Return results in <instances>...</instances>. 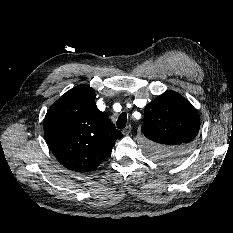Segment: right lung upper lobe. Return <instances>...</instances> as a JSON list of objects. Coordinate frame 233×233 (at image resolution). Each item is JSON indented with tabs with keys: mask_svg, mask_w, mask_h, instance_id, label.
Masks as SVG:
<instances>
[{
	"mask_svg": "<svg viewBox=\"0 0 233 233\" xmlns=\"http://www.w3.org/2000/svg\"><path fill=\"white\" fill-rule=\"evenodd\" d=\"M44 136L57 160L76 172L96 169L123 137L98 110L88 85L72 88L52 104L44 119Z\"/></svg>",
	"mask_w": 233,
	"mask_h": 233,
	"instance_id": "cb5924a9",
	"label": "right lung upper lobe"
}]
</instances>
